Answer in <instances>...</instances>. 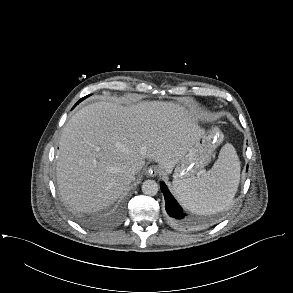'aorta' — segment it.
Here are the masks:
<instances>
[{
    "label": "aorta",
    "mask_w": 293,
    "mask_h": 293,
    "mask_svg": "<svg viewBox=\"0 0 293 293\" xmlns=\"http://www.w3.org/2000/svg\"><path fill=\"white\" fill-rule=\"evenodd\" d=\"M159 186L154 180H145L142 184V192L148 196H154L158 193Z\"/></svg>",
    "instance_id": "obj_1"
}]
</instances>
